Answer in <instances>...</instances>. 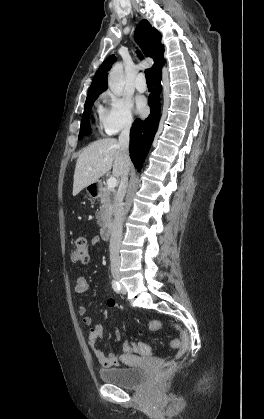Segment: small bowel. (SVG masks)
I'll list each match as a JSON object with an SVG mask.
<instances>
[{
  "mask_svg": "<svg viewBox=\"0 0 264 419\" xmlns=\"http://www.w3.org/2000/svg\"><path fill=\"white\" fill-rule=\"evenodd\" d=\"M101 239L100 237L96 236L93 238L92 243L93 245H96L100 243ZM89 288V285L87 283V280L84 276H78L76 278V283L74 290L77 294H83L85 293ZM108 307L114 308L116 306V303L114 300H108L107 302ZM78 314L82 317V321L85 325L89 326V346L92 349L93 353L95 354L98 362L103 367H114L120 365L121 359H126L128 356H130L132 353H138L141 356L149 357L152 356L153 351L152 348L144 343H134V342H125L123 344V351L124 355L120 358L119 356L115 354H105L101 349L97 347V341L102 338L103 336V327L100 324H94L93 319L91 316L87 314V309L85 306L81 305L77 309ZM160 328V325H159ZM115 340L119 341L121 338V334L118 330L114 333ZM132 344H137L144 346L146 348V352H140L137 348L131 347Z\"/></svg>",
  "mask_w": 264,
  "mask_h": 419,
  "instance_id": "1",
  "label": "small bowel"
}]
</instances>
